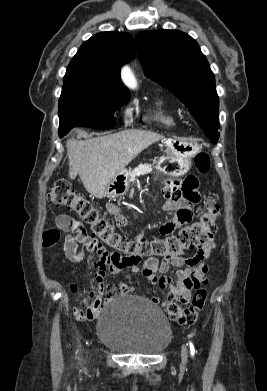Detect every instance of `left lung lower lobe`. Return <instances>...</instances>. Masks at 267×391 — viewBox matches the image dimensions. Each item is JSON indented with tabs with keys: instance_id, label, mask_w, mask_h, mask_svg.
<instances>
[{
	"instance_id": "left-lung-lower-lobe-1",
	"label": "left lung lower lobe",
	"mask_w": 267,
	"mask_h": 391,
	"mask_svg": "<svg viewBox=\"0 0 267 391\" xmlns=\"http://www.w3.org/2000/svg\"><path fill=\"white\" fill-rule=\"evenodd\" d=\"M205 133H206V135L211 139V141H212V135H211V133L208 131V130H205Z\"/></svg>"
}]
</instances>
